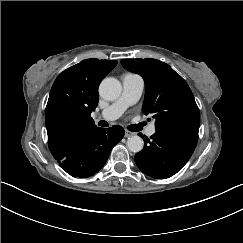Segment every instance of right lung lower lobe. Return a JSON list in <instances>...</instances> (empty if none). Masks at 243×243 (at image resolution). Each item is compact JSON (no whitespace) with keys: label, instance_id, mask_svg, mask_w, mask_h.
I'll return each mask as SVG.
<instances>
[{"label":"right lung lower lobe","instance_id":"1","mask_svg":"<svg viewBox=\"0 0 243 243\" xmlns=\"http://www.w3.org/2000/svg\"><path fill=\"white\" fill-rule=\"evenodd\" d=\"M121 126L95 127L74 139L57 156L60 166L73 177L87 178L106 163L112 148L123 138Z\"/></svg>","mask_w":243,"mask_h":243}]
</instances>
